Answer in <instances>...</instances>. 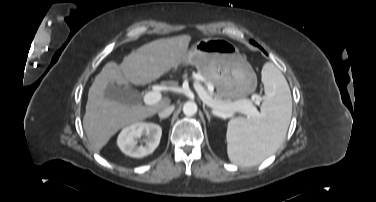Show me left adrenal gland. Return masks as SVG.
<instances>
[{
	"mask_svg": "<svg viewBox=\"0 0 376 202\" xmlns=\"http://www.w3.org/2000/svg\"><path fill=\"white\" fill-rule=\"evenodd\" d=\"M203 110H204V112H205V114L207 116L208 121L210 122L211 116H210L209 112L207 111V109L205 107H203Z\"/></svg>",
	"mask_w": 376,
	"mask_h": 202,
	"instance_id": "a2214340",
	"label": "left adrenal gland"
}]
</instances>
